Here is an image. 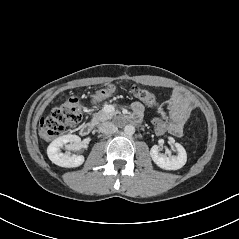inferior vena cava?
<instances>
[{
    "mask_svg": "<svg viewBox=\"0 0 239 239\" xmlns=\"http://www.w3.org/2000/svg\"><path fill=\"white\" fill-rule=\"evenodd\" d=\"M117 129L118 128L112 122H104L99 126V132L104 134H113Z\"/></svg>",
    "mask_w": 239,
    "mask_h": 239,
    "instance_id": "602c4592",
    "label": "inferior vena cava"
}]
</instances>
